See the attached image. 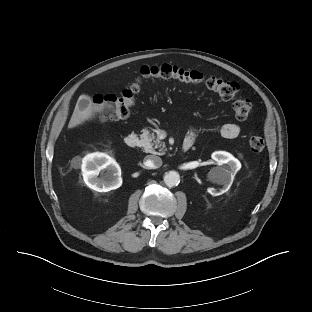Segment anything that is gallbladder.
<instances>
[{
	"instance_id": "obj_1",
	"label": "gallbladder",
	"mask_w": 312,
	"mask_h": 312,
	"mask_svg": "<svg viewBox=\"0 0 312 312\" xmlns=\"http://www.w3.org/2000/svg\"><path fill=\"white\" fill-rule=\"evenodd\" d=\"M81 105H84L87 103L86 100H82L81 102ZM102 109L105 113H109L111 111V105L109 103H103L102 104Z\"/></svg>"
}]
</instances>
